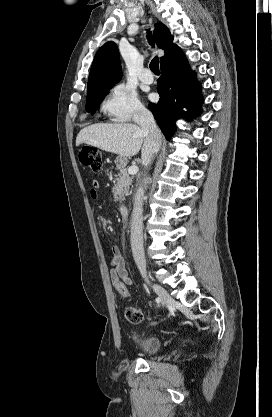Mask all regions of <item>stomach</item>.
Returning <instances> with one entry per match:
<instances>
[{
    "mask_svg": "<svg viewBox=\"0 0 272 417\" xmlns=\"http://www.w3.org/2000/svg\"><path fill=\"white\" fill-rule=\"evenodd\" d=\"M115 164L118 169H123L127 164V158L119 155L115 159Z\"/></svg>",
    "mask_w": 272,
    "mask_h": 417,
    "instance_id": "stomach-1",
    "label": "stomach"
}]
</instances>
